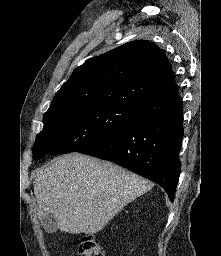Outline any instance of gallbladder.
Masks as SVG:
<instances>
[{"label":"gallbladder","instance_id":"obj_1","mask_svg":"<svg viewBox=\"0 0 221 256\" xmlns=\"http://www.w3.org/2000/svg\"><path fill=\"white\" fill-rule=\"evenodd\" d=\"M41 223H42L43 227L45 228V230L47 232H51L52 233V232H55L56 229H57L55 223L52 222V215L51 214L48 215L47 217H43L41 219Z\"/></svg>","mask_w":221,"mask_h":256}]
</instances>
